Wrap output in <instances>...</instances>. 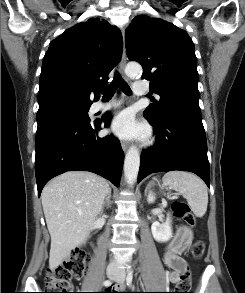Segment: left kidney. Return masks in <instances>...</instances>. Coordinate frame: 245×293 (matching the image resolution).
I'll return each mask as SVG.
<instances>
[{"instance_id":"5707ae66","label":"left kidney","mask_w":245,"mask_h":293,"mask_svg":"<svg viewBox=\"0 0 245 293\" xmlns=\"http://www.w3.org/2000/svg\"><path fill=\"white\" fill-rule=\"evenodd\" d=\"M147 201L149 203H153L155 201V196L153 194H149ZM151 232L154 239L158 242H167L172 238V228H171V218L170 215H167V219L165 223L160 224L155 221L151 225Z\"/></svg>"}]
</instances>
